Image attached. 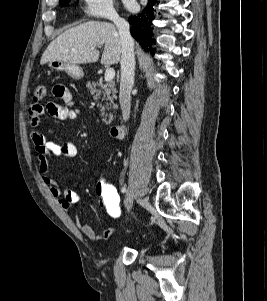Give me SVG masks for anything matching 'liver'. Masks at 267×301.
I'll list each match as a JSON object with an SVG mask.
<instances>
[{"label": "liver", "instance_id": "obj_1", "mask_svg": "<svg viewBox=\"0 0 267 301\" xmlns=\"http://www.w3.org/2000/svg\"><path fill=\"white\" fill-rule=\"evenodd\" d=\"M104 45L101 63L117 64L121 60L122 47L117 27L112 23L88 21L66 30L53 40L44 51L40 64L63 61L86 64L98 61L96 47Z\"/></svg>", "mask_w": 267, "mask_h": 301}]
</instances>
